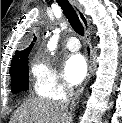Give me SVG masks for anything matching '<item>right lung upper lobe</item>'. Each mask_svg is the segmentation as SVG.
<instances>
[{
    "label": "right lung upper lobe",
    "instance_id": "obj_1",
    "mask_svg": "<svg viewBox=\"0 0 122 123\" xmlns=\"http://www.w3.org/2000/svg\"><path fill=\"white\" fill-rule=\"evenodd\" d=\"M36 41V37H34L33 42H31L30 46L26 48L23 51L16 50L15 55L13 56V59L11 61V67L10 70L19 66L22 62L28 60V55L30 50L32 49L34 42Z\"/></svg>",
    "mask_w": 122,
    "mask_h": 123
}]
</instances>
